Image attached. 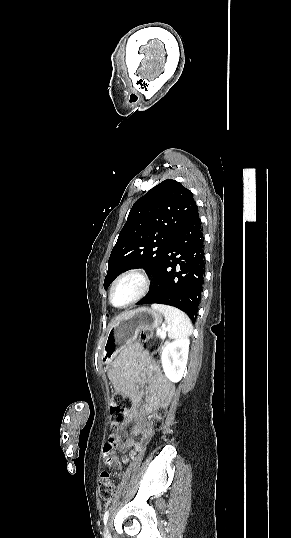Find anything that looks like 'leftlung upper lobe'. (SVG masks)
<instances>
[{
    "label": "left lung upper lobe",
    "instance_id": "5c2ea615",
    "mask_svg": "<svg viewBox=\"0 0 291 538\" xmlns=\"http://www.w3.org/2000/svg\"><path fill=\"white\" fill-rule=\"evenodd\" d=\"M196 213L193 193L175 180H165L139 198L110 254L104 288L132 268L153 276L175 235Z\"/></svg>",
    "mask_w": 291,
    "mask_h": 538
}]
</instances>
